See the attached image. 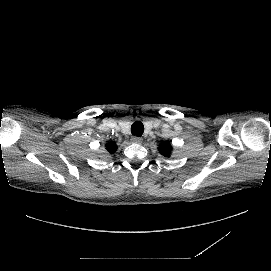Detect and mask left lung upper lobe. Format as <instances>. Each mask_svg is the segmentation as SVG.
<instances>
[{
  "instance_id": "5c2ea615",
  "label": "left lung upper lobe",
  "mask_w": 271,
  "mask_h": 271,
  "mask_svg": "<svg viewBox=\"0 0 271 271\" xmlns=\"http://www.w3.org/2000/svg\"><path fill=\"white\" fill-rule=\"evenodd\" d=\"M171 149H172L171 145H170V143L168 141L163 142L159 147L160 153L165 157L170 156Z\"/></svg>"
}]
</instances>
